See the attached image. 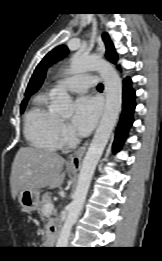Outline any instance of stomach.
Wrapping results in <instances>:
<instances>
[{"mask_svg": "<svg viewBox=\"0 0 162 261\" xmlns=\"http://www.w3.org/2000/svg\"><path fill=\"white\" fill-rule=\"evenodd\" d=\"M71 171L74 169L70 168ZM40 193L38 190H23L19 192L18 201L26 211H34L38 208Z\"/></svg>", "mask_w": 162, "mask_h": 261, "instance_id": "1", "label": "stomach"}]
</instances>
